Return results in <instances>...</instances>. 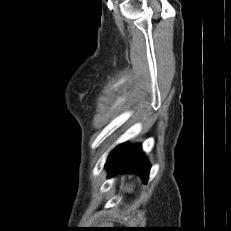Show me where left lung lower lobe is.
I'll return each mask as SVG.
<instances>
[{"label": "left lung lower lobe", "mask_w": 231, "mask_h": 231, "mask_svg": "<svg viewBox=\"0 0 231 231\" xmlns=\"http://www.w3.org/2000/svg\"><path fill=\"white\" fill-rule=\"evenodd\" d=\"M109 170V176L117 172H130L138 174L146 183L150 165L141 151L140 145L129 146L124 143L112 151L106 163Z\"/></svg>", "instance_id": "1"}]
</instances>
